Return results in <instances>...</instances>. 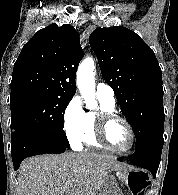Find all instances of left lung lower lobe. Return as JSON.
Here are the masks:
<instances>
[{
	"instance_id": "0a47b994",
	"label": "left lung lower lobe",
	"mask_w": 178,
	"mask_h": 195,
	"mask_svg": "<svg viewBox=\"0 0 178 195\" xmlns=\"http://www.w3.org/2000/svg\"><path fill=\"white\" fill-rule=\"evenodd\" d=\"M162 147L163 142L136 150L129 157V161L132 164L149 170L153 177H155L161 160Z\"/></svg>"
}]
</instances>
